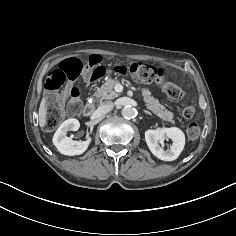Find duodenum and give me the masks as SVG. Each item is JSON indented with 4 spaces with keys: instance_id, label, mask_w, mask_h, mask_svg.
Returning a JSON list of instances; mask_svg holds the SVG:
<instances>
[{
    "instance_id": "410a0bca",
    "label": "duodenum",
    "mask_w": 236,
    "mask_h": 236,
    "mask_svg": "<svg viewBox=\"0 0 236 236\" xmlns=\"http://www.w3.org/2000/svg\"><path fill=\"white\" fill-rule=\"evenodd\" d=\"M93 113V105L88 104L85 108V116L90 117Z\"/></svg>"
}]
</instances>
